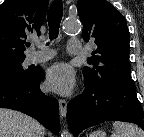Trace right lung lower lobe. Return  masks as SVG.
Wrapping results in <instances>:
<instances>
[{
    "label": "right lung lower lobe",
    "mask_w": 144,
    "mask_h": 137,
    "mask_svg": "<svg viewBox=\"0 0 144 137\" xmlns=\"http://www.w3.org/2000/svg\"><path fill=\"white\" fill-rule=\"evenodd\" d=\"M42 77V70L36 69L28 80L0 82V108L14 109L32 116L57 134L60 130L59 106L54 98L40 90Z\"/></svg>",
    "instance_id": "98d812e1"
}]
</instances>
